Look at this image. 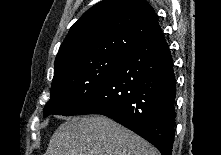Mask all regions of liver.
<instances>
[{
	"label": "liver",
	"mask_w": 221,
	"mask_h": 155,
	"mask_svg": "<svg viewBox=\"0 0 221 155\" xmlns=\"http://www.w3.org/2000/svg\"><path fill=\"white\" fill-rule=\"evenodd\" d=\"M45 155H156V150L113 120L94 115L62 123Z\"/></svg>",
	"instance_id": "6515ba94"
}]
</instances>
